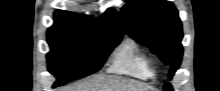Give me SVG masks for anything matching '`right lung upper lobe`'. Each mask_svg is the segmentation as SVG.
Listing matches in <instances>:
<instances>
[{
	"instance_id": "right-lung-upper-lobe-1",
	"label": "right lung upper lobe",
	"mask_w": 220,
	"mask_h": 91,
	"mask_svg": "<svg viewBox=\"0 0 220 91\" xmlns=\"http://www.w3.org/2000/svg\"><path fill=\"white\" fill-rule=\"evenodd\" d=\"M54 25L51 28L83 27L94 31H114L124 34L119 16L114 9H108L99 19L91 20L84 14L58 10L54 13Z\"/></svg>"
}]
</instances>
